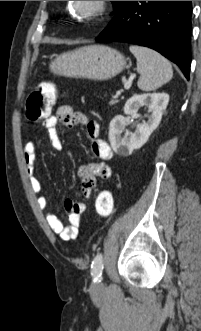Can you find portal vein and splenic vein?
I'll list each match as a JSON object with an SVG mask.
<instances>
[{
  "instance_id": "portal-vein-and-splenic-vein-1",
  "label": "portal vein and splenic vein",
  "mask_w": 201,
  "mask_h": 331,
  "mask_svg": "<svg viewBox=\"0 0 201 331\" xmlns=\"http://www.w3.org/2000/svg\"><path fill=\"white\" fill-rule=\"evenodd\" d=\"M132 80H133V79L130 78L129 80H127V81L124 82V88H125V89H129V88L131 87V85H132ZM120 93H121V92L118 91V92H117V95H120Z\"/></svg>"
}]
</instances>
